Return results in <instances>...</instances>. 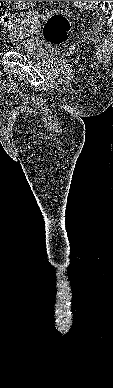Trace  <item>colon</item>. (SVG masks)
I'll use <instances>...</instances> for the list:
<instances>
[{"instance_id": "5ec220e1", "label": "colon", "mask_w": 113, "mask_h": 388, "mask_svg": "<svg viewBox=\"0 0 113 388\" xmlns=\"http://www.w3.org/2000/svg\"><path fill=\"white\" fill-rule=\"evenodd\" d=\"M40 20L44 22L43 37L52 45H61L68 39L71 28L67 15L62 11H54L48 15H40ZM15 18L0 8V25L6 28H15Z\"/></svg>"}]
</instances>
